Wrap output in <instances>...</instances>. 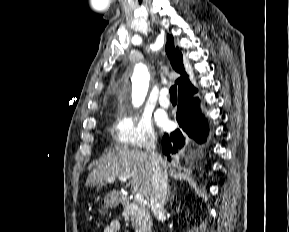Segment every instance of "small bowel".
<instances>
[{
  "mask_svg": "<svg viewBox=\"0 0 289 232\" xmlns=\"http://www.w3.org/2000/svg\"><path fill=\"white\" fill-rule=\"evenodd\" d=\"M120 229V224L118 221H111L103 230V232H118Z\"/></svg>",
  "mask_w": 289,
  "mask_h": 232,
  "instance_id": "1",
  "label": "small bowel"
}]
</instances>
